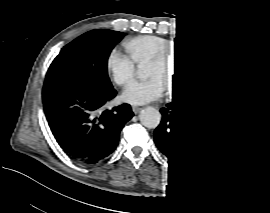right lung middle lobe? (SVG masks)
I'll return each instance as SVG.
<instances>
[{"mask_svg":"<svg viewBox=\"0 0 270 213\" xmlns=\"http://www.w3.org/2000/svg\"><path fill=\"white\" fill-rule=\"evenodd\" d=\"M125 34L112 30H92L67 44L50 65L45 82L82 81L112 89L107 60Z\"/></svg>","mask_w":270,"mask_h":213,"instance_id":"1","label":"right lung middle lobe"}]
</instances>
